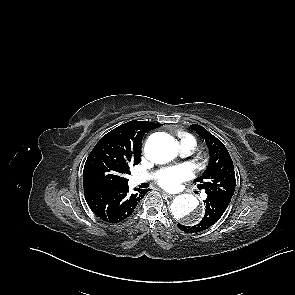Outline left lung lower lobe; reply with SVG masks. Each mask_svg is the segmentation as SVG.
<instances>
[{
    "label": "left lung lower lobe",
    "mask_w": 295,
    "mask_h": 295,
    "mask_svg": "<svg viewBox=\"0 0 295 295\" xmlns=\"http://www.w3.org/2000/svg\"><path fill=\"white\" fill-rule=\"evenodd\" d=\"M231 199L215 196H207V199L204 201L206 210L205 215L200 223L194 226H185L178 224V227L190 233H196L210 228L214 225L223 215L227 209Z\"/></svg>",
    "instance_id": "1"
}]
</instances>
